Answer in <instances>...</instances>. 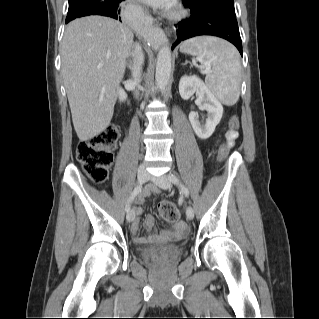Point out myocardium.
<instances>
[{
  "label": "myocardium",
  "instance_id": "myocardium-1",
  "mask_svg": "<svg viewBox=\"0 0 319 319\" xmlns=\"http://www.w3.org/2000/svg\"><path fill=\"white\" fill-rule=\"evenodd\" d=\"M172 15L173 16H178L179 15V10L174 11Z\"/></svg>",
  "mask_w": 319,
  "mask_h": 319
}]
</instances>
